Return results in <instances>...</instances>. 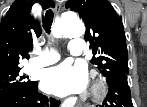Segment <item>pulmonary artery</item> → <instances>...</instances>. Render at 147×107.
<instances>
[{"mask_svg": "<svg viewBox=\"0 0 147 107\" xmlns=\"http://www.w3.org/2000/svg\"><path fill=\"white\" fill-rule=\"evenodd\" d=\"M85 46V42L83 39L75 38L70 42V52L72 54H81L83 48ZM60 59L59 55L54 51H43L40 55L36 56L30 62V66L32 68H41L50 64L57 62Z\"/></svg>", "mask_w": 147, "mask_h": 107, "instance_id": "obj_1", "label": "pulmonary artery"}]
</instances>
